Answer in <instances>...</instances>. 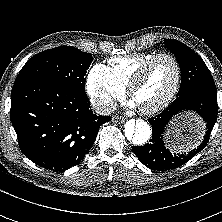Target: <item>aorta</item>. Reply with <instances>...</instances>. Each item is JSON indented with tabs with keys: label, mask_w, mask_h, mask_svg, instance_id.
I'll return each instance as SVG.
<instances>
[{
	"label": "aorta",
	"mask_w": 222,
	"mask_h": 222,
	"mask_svg": "<svg viewBox=\"0 0 222 222\" xmlns=\"http://www.w3.org/2000/svg\"><path fill=\"white\" fill-rule=\"evenodd\" d=\"M123 137L131 145L143 146L151 137V128L142 119H131L124 126Z\"/></svg>",
	"instance_id": "aorta-1"
}]
</instances>
